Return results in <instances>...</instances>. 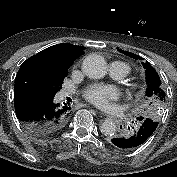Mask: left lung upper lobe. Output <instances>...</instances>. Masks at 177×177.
Returning <instances> with one entry per match:
<instances>
[{
  "label": "left lung upper lobe",
  "mask_w": 177,
  "mask_h": 177,
  "mask_svg": "<svg viewBox=\"0 0 177 177\" xmlns=\"http://www.w3.org/2000/svg\"><path fill=\"white\" fill-rule=\"evenodd\" d=\"M124 54L133 57L134 54L129 53V52H124ZM145 72H146V84H147V89H146V99L149 104L146 112H145V117L150 118L156 122H158L163 105L166 100V95L164 92V87L163 84L160 80V77L156 70L151 66V64L147 61L146 63H142ZM144 117H139L137 118L139 121L143 119Z\"/></svg>",
  "instance_id": "5c2ea615"
}]
</instances>
